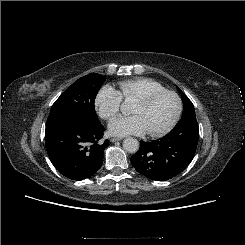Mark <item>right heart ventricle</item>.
<instances>
[{"mask_svg": "<svg viewBox=\"0 0 245 245\" xmlns=\"http://www.w3.org/2000/svg\"><path fill=\"white\" fill-rule=\"evenodd\" d=\"M163 90L166 88L158 81L152 78L138 77L119 82L118 93L124 100H136L139 97Z\"/></svg>", "mask_w": 245, "mask_h": 245, "instance_id": "e07e8e85", "label": "right heart ventricle"}]
</instances>
